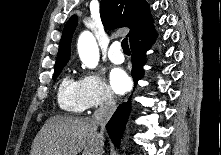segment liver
<instances>
[{
  "instance_id": "1",
  "label": "liver",
  "mask_w": 221,
  "mask_h": 155,
  "mask_svg": "<svg viewBox=\"0 0 221 155\" xmlns=\"http://www.w3.org/2000/svg\"><path fill=\"white\" fill-rule=\"evenodd\" d=\"M98 125L86 117L56 115L49 118L36 135L31 155H100L104 137Z\"/></svg>"
}]
</instances>
